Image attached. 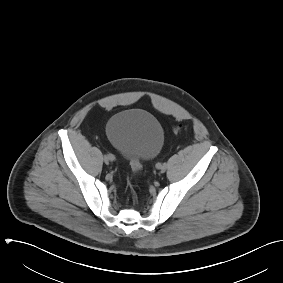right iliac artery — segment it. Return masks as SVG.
<instances>
[{"label": "right iliac artery", "mask_w": 283, "mask_h": 283, "mask_svg": "<svg viewBox=\"0 0 283 283\" xmlns=\"http://www.w3.org/2000/svg\"><path fill=\"white\" fill-rule=\"evenodd\" d=\"M108 155L111 156V160H112V161L115 159L114 155H112V154H108Z\"/></svg>", "instance_id": "1"}]
</instances>
